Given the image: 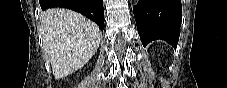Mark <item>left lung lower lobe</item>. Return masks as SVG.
<instances>
[{"mask_svg": "<svg viewBox=\"0 0 227 88\" xmlns=\"http://www.w3.org/2000/svg\"><path fill=\"white\" fill-rule=\"evenodd\" d=\"M133 12L144 47L159 39L177 47L182 16L181 0H139Z\"/></svg>", "mask_w": 227, "mask_h": 88, "instance_id": "1", "label": "left lung lower lobe"}]
</instances>
